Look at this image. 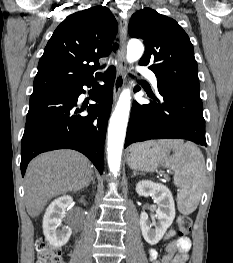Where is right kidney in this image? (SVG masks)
<instances>
[{
  "instance_id": "1",
  "label": "right kidney",
  "mask_w": 233,
  "mask_h": 263,
  "mask_svg": "<svg viewBox=\"0 0 233 263\" xmlns=\"http://www.w3.org/2000/svg\"><path fill=\"white\" fill-rule=\"evenodd\" d=\"M71 196H62L54 201L46 209L43 217V233L48 242L55 248L65 245L72 230L68 226H62V220L66 214V208L72 203Z\"/></svg>"
}]
</instances>
